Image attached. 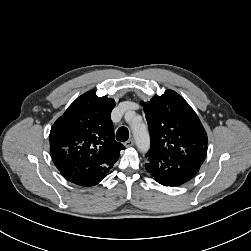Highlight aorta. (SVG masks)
I'll use <instances>...</instances> for the list:
<instances>
[{"label": "aorta", "mask_w": 251, "mask_h": 251, "mask_svg": "<svg viewBox=\"0 0 251 251\" xmlns=\"http://www.w3.org/2000/svg\"><path fill=\"white\" fill-rule=\"evenodd\" d=\"M130 114L133 115L132 120L128 119V115ZM126 118L127 121L130 122L131 129L138 149L143 153L147 152L150 146V138L146 127L143 124L135 121L136 116L133 112L128 113Z\"/></svg>", "instance_id": "aorta-1"}]
</instances>
